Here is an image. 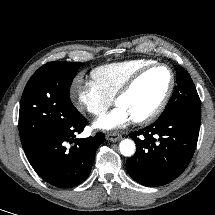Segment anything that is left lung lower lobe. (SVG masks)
Returning <instances> with one entry per match:
<instances>
[{
    "label": "left lung lower lobe",
    "instance_id": "1",
    "mask_svg": "<svg viewBox=\"0 0 215 215\" xmlns=\"http://www.w3.org/2000/svg\"><path fill=\"white\" fill-rule=\"evenodd\" d=\"M200 122L201 115L173 112L130 133L137 150L126 162L129 175L148 187L173 181L185 170L194 154Z\"/></svg>",
    "mask_w": 215,
    "mask_h": 215
}]
</instances>
